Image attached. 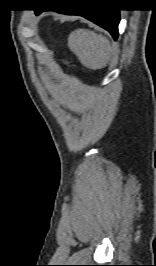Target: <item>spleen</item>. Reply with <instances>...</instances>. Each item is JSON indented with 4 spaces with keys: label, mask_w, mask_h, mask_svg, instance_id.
Listing matches in <instances>:
<instances>
[{
    "label": "spleen",
    "mask_w": 156,
    "mask_h": 266,
    "mask_svg": "<svg viewBox=\"0 0 156 266\" xmlns=\"http://www.w3.org/2000/svg\"><path fill=\"white\" fill-rule=\"evenodd\" d=\"M68 47L81 64L91 70L106 67L112 53L110 41L105 36L87 29L71 32Z\"/></svg>",
    "instance_id": "1"
}]
</instances>
